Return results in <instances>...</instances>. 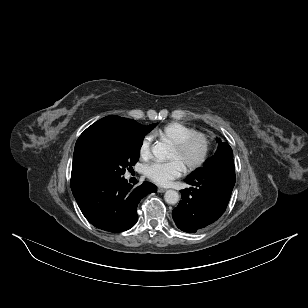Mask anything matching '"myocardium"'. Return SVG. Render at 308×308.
Instances as JSON below:
<instances>
[{"label":"myocardium","instance_id":"1","mask_svg":"<svg viewBox=\"0 0 308 308\" xmlns=\"http://www.w3.org/2000/svg\"><path fill=\"white\" fill-rule=\"evenodd\" d=\"M200 140L203 143V150L200 156L193 162L186 165L187 170L194 171L202 167L208 160L212 148V143L210 137L203 132H195L180 142L174 144V148L178 153H184L195 141Z\"/></svg>","mask_w":308,"mask_h":308}]
</instances>
